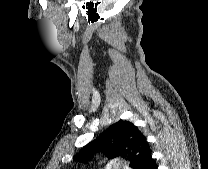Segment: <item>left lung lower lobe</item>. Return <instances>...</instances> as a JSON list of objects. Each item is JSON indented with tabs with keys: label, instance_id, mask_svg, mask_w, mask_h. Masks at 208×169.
Returning a JSON list of instances; mask_svg holds the SVG:
<instances>
[{
	"label": "left lung lower lobe",
	"instance_id": "1",
	"mask_svg": "<svg viewBox=\"0 0 208 169\" xmlns=\"http://www.w3.org/2000/svg\"><path fill=\"white\" fill-rule=\"evenodd\" d=\"M138 169H157V165L152 158V152L150 148L143 155Z\"/></svg>",
	"mask_w": 208,
	"mask_h": 169
}]
</instances>
